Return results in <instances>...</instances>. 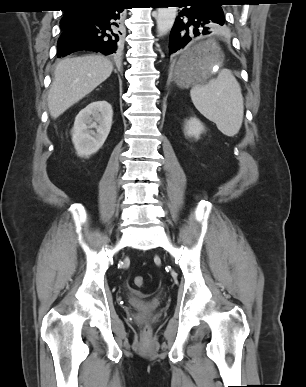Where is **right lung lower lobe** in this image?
Wrapping results in <instances>:
<instances>
[{
    "label": "right lung lower lobe",
    "mask_w": 306,
    "mask_h": 387,
    "mask_svg": "<svg viewBox=\"0 0 306 387\" xmlns=\"http://www.w3.org/2000/svg\"><path fill=\"white\" fill-rule=\"evenodd\" d=\"M126 4L123 0H111L71 9L69 13L78 21L62 28L58 40V58L78 50L117 54L122 45V19Z\"/></svg>",
    "instance_id": "98d812e1"
}]
</instances>
